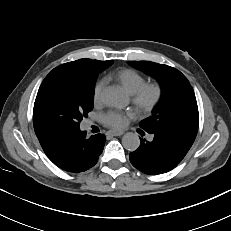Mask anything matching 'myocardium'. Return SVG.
Listing matches in <instances>:
<instances>
[{
	"label": "myocardium",
	"instance_id": "f54148a6",
	"mask_svg": "<svg viewBox=\"0 0 231 231\" xmlns=\"http://www.w3.org/2000/svg\"><path fill=\"white\" fill-rule=\"evenodd\" d=\"M163 93V86L159 82H147L131 94V101L139 112L149 113L161 101Z\"/></svg>",
	"mask_w": 231,
	"mask_h": 231
}]
</instances>
